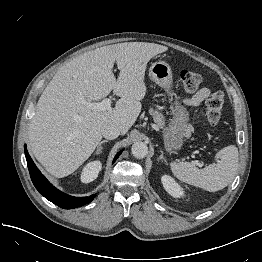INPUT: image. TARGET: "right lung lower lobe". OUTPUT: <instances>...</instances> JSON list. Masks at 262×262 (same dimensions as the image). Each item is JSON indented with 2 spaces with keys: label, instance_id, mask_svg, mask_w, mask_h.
I'll return each instance as SVG.
<instances>
[{
  "label": "right lung lower lobe",
  "instance_id": "right-lung-lower-lobe-1",
  "mask_svg": "<svg viewBox=\"0 0 262 262\" xmlns=\"http://www.w3.org/2000/svg\"><path fill=\"white\" fill-rule=\"evenodd\" d=\"M24 148L32 182L36 189L49 201L58 205L61 208L72 209L83 206L94 199V197L96 196L95 194L89 197H73L56 189L52 184L48 182V180L41 174V172L35 166L34 162L32 161L31 157L27 152L26 145L24 146ZM121 152L122 151L117 153L113 162L116 161Z\"/></svg>",
  "mask_w": 262,
  "mask_h": 262
}]
</instances>
